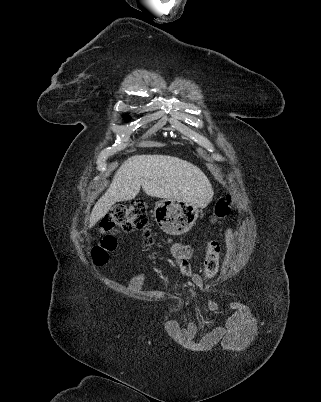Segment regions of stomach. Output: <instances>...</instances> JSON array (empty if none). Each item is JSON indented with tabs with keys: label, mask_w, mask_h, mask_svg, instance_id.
Segmentation results:
<instances>
[{
	"label": "stomach",
	"mask_w": 321,
	"mask_h": 402,
	"mask_svg": "<svg viewBox=\"0 0 321 402\" xmlns=\"http://www.w3.org/2000/svg\"><path fill=\"white\" fill-rule=\"evenodd\" d=\"M199 212V207L192 203L162 199L155 203L154 219L163 232L182 235L195 224Z\"/></svg>",
	"instance_id": "1"
}]
</instances>
